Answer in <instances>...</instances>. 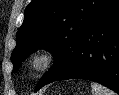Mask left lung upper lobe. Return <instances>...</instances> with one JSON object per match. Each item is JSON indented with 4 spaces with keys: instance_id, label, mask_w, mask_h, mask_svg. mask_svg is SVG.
Masks as SVG:
<instances>
[{
    "instance_id": "1",
    "label": "left lung upper lobe",
    "mask_w": 119,
    "mask_h": 95,
    "mask_svg": "<svg viewBox=\"0 0 119 95\" xmlns=\"http://www.w3.org/2000/svg\"><path fill=\"white\" fill-rule=\"evenodd\" d=\"M116 0H32L16 34L11 60L14 70L38 48L55 56L54 66L37 84L35 91L64 73L75 59L79 41L87 29Z\"/></svg>"
}]
</instances>
